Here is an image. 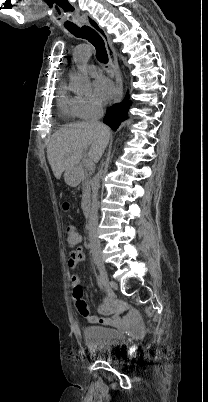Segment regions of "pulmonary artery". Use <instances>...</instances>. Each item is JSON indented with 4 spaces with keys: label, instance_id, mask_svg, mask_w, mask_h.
<instances>
[{
    "label": "pulmonary artery",
    "instance_id": "obj_1",
    "mask_svg": "<svg viewBox=\"0 0 208 402\" xmlns=\"http://www.w3.org/2000/svg\"><path fill=\"white\" fill-rule=\"evenodd\" d=\"M85 49L84 48H80V53H84ZM87 72L90 74H96L98 71V68L95 65H88L87 66Z\"/></svg>",
    "mask_w": 208,
    "mask_h": 402
}]
</instances>
